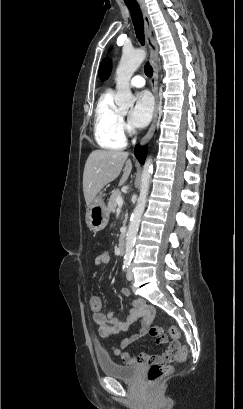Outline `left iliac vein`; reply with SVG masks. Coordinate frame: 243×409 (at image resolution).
Masks as SVG:
<instances>
[{"label":"left iliac vein","instance_id":"1","mask_svg":"<svg viewBox=\"0 0 243 409\" xmlns=\"http://www.w3.org/2000/svg\"><path fill=\"white\" fill-rule=\"evenodd\" d=\"M126 278L131 281L133 279V272H132V265H130L127 269Z\"/></svg>","mask_w":243,"mask_h":409}]
</instances>
